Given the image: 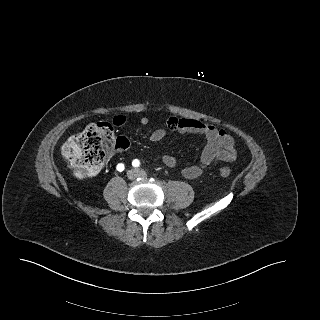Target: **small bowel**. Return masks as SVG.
Wrapping results in <instances>:
<instances>
[{
	"label": "small bowel",
	"mask_w": 320,
	"mask_h": 320,
	"mask_svg": "<svg viewBox=\"0 0 320 320\" xmlns=\"http://www.w3.org/2000/svg\"><path fill=\"white\" fill-rule=\"evenodd\" d=\"M126 117L122 115L115 116L113 122L116 125H122ZM147 117H141L140 123L147 125ZM169 131L180 133L199 134L205 137L206 145L201 153L199 162L188 165L182 170V174L187 179H196L202 172L217 161L232 162L236 158V144L233 136L223 129H218L214 125L204 123L196 119L178 118L170 116L166 121V128H158L149 135V141L156 143L163 140ZM162 162L169 168L176 166L174 156L166 154L162 157Z\"/></svg>",
	"instance_id": "1"
}]
</instances>
